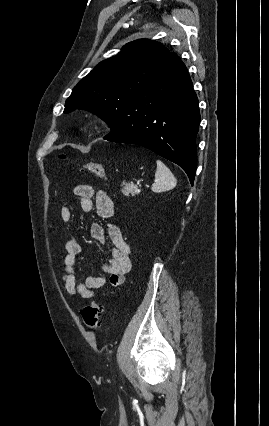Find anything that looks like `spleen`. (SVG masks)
<instances>
[{"mask_svg": "<svg viewBox=\"0 0 269 426\" xmlns=\"http://www.w3.org/2000/svg\"><path fill=\"white\" fill-rule=\"evenodd\" d=\"M156 164L155 182L151 190L155 193H160L174 188L177 181L170 169L160 160H157Z\"/></svg>", "mask_w": 269, "mask_h": 426, "instance_id": "spleen-1", "label": "spleen"}]
</instances>
